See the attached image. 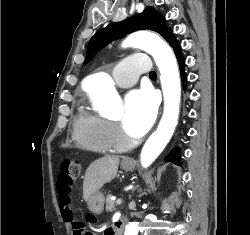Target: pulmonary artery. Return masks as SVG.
<instances>
[{"label":"pulmonary artery","instance_id":"e3ab8cb5","mask_svg":"<svg viewBox=\"0 0 250 235\" xmlns=\"http://www.w3.org/2000/svg\"><path fill=\"white\" fill-rule=\"evenodd\" d=\"M151 67L152 65L147 54H131L114 70V81L121 88L130 87L137 81L139 73L149 72Z\"/></svg>","mask_w":250,"mask_h":235}]
</instances>
